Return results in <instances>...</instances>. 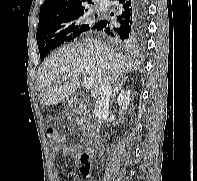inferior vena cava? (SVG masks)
I'll list each match as a JSON object with an SVG mask.
<instances>
[{
	"instance_id": "1",
	"label": "inferior vena cava",
	"mask_w": 197,
	"mask_h": 181,
	"mask_svg": "<svg viewBox=\"0 0 197 181\" xmlns=\"http://www.w3.org/2000/svg\"><path fill=\"white\" fill-rule=\"evenodd\" d=\"M111 97H112V82H109L107 80L106 83L101 88V92L97 97V101L94 109V117L95 119H97L99 125H101V123L109 113Z\"/></svg>"
}]
</instances>
